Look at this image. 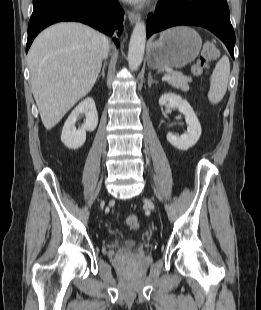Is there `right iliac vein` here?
I'll return each instance as SVG.
<instances>
[{
	"mask_svg": "<svg viewBox=\"0 0 261 310\" xmlns=\"http://www.w3.org/2000/svg\"><path fill=\"white\" fill-rule=\"evenodd\" d=\"M103 207H104V203L102 202V203H101V209H103Z\"/></svg>",
	"mask_w": 261,
	"mask_h": 310,
	"instance_id": "right-iliac-vein-1",
	"label": "right iliac vein"
}]
</instances>
